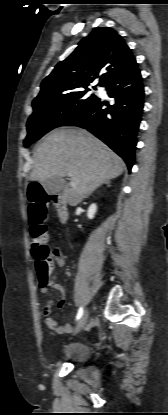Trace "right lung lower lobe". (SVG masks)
Instances as JSON below:
<instances>
[{
    "instance_id": "right-lung-lower-lobe-1",
    "label": "right lung lower lobe",
    "mask_w": 168,
    "mask_h": 415,
    "mask_svg": "<svg viewBox=\"0 0 168 415\" xmlns=\"http://www.w3.org/2000/svg\"><path fill=\"white\" fill-rule=\"evenodd\" d=\"M113 105L98 101L64 126L84 128L106 143L131 170L135 160L137 132L143 111L144 88L137 63L106 85ZM104 106H106L104 108Z\"/></svg>"
}]
</instances>
